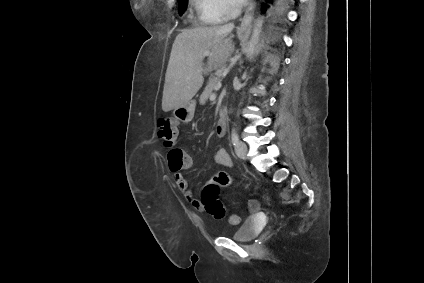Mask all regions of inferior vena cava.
I'll list each match as a JSON object with an SVG mask.
<instances>
[{
  "label": "inferior vena cava",
  "mask_w": 424,
  "mask_h": 283,
  "mask_svg": "<svg viewBox=\"0 0 424 283\" xmlns=\"http://www.w3.org/2000/svg\"><path fill=\"white\" fill-rule=\"evenodd\" d=\"M241 5H236L233 10H232V17L235 18L236 16H238L241 13Z\"/></svg>",
  "instance_id": "inferior-vena-cava-1"
}]
</instances>
